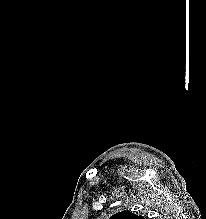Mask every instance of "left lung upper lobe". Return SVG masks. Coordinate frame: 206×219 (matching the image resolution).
<instances>
[{
  "label": "left lung upper lobe",
  "mask_w": 206,
  "mask_h": 219,
  "mask_svg": "<svg viewBox=\"0 0 206 219\" xmlns=\"http://www.w3.org/2000/svg\"><path fill=\"white\" fill-rule=\"evenodd\" d=\"M110 219H144L143 216H137L130 211H122L110 217Z\"/></svg>",
  "instance_id": "5c2ea615"
}]
</instances>
